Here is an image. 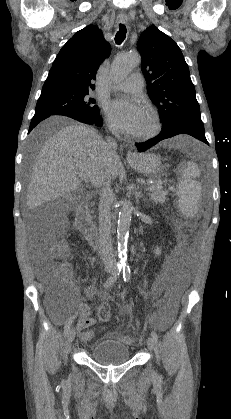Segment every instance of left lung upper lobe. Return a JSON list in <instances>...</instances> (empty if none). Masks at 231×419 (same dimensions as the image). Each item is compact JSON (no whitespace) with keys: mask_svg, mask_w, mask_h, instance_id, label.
I'll use <instances>...</instances> for the list:
<instances>
[{"mask_svg":"<svg viewBox=\"0 0 231 419\" xmlns=\"http://www.w3.org/2000/svg\"><path fill=\"white\" fill-rule=\"evenodd\" d=\"M137 47L148 95L159 109L162 128L186 116H200L189 68L176 42L152 25L141 34Z\"/></svg>","mask_w":231,"mask_h":419,"instance_id":"5c2ea615","label":"left lung upper lobe"}]
</instances>
